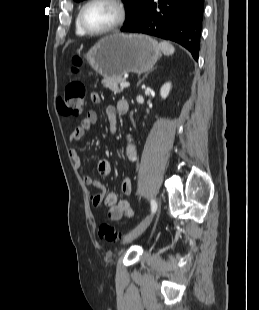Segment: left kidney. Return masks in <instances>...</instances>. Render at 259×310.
<instances>
[{
	"label": "left kidney",
	"mask_w": 259,
	"mask_h": 310,
	"mask_svg": "<svg viewBox=\"0 0 259 310\" xmlns=\"http://www.w3.org/2000/svg\"><path fill=\"white\" fill-rule=\"evenodd\" d=\"M171 90V83L168 82V83H165L161 89H160V95L162 97V99H166L167 96L169 95V92Z\"/></svg>",
	"instance_id": "left-kidney-1"
}]
</instances>
